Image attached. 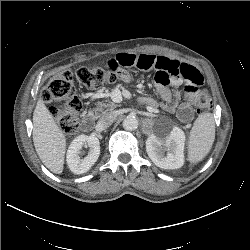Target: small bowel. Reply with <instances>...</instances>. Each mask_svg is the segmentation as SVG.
Listing matches in <instances>:
<instances>
[{"mask_svg": "<svg viewBox=\"0 0 250 250\" xmlns=\"http://www.w3.org/2000/svg\"><path fill=\"white\" fill-rule=\"evenodd\" d=\"M130 66L145 71L155 70L154 81L163 100L162 108L170 112L175 111L183 123L192 120V102L203 84V76L196 67L165 56L135 53L117 54L108 62V68L121 72L125 81H128L130 76L124 68ZM182 84L183 93L180 90ZM147 103L153 105L154 100L147 99Z\"/></svg>", "mask_w": 250, "mask_h": 250, "instance_id": "small-bowel-1", "label": "small bowel"}]
</instances>
